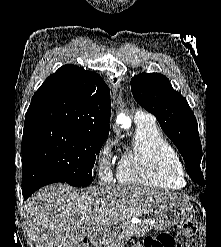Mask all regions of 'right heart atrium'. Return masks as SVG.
I'll use <instances>...</instances> for the list:
<instances>
[{
    "label": "right heart atrium",
    "mask_w": 221,
    "mask_h": 247,
    "mask_svg": "<svg viewBox=\"0 0 221 247\" xmlns=\"http://www.w3.org/2000/svg\"><path fill=\"white\" fill-rule=\"evenodd\" d=\"M98 173L103 181H109L111 178V167H110V146L108 142H105L97 156Z\"/></svg>",
    "instance_id": "1"
}]
</instances>
